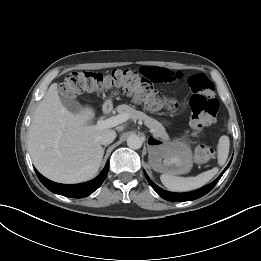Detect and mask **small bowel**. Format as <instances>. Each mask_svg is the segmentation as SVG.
Instances as JSON below:
<instances>
[{"mask_svg":"<svg viewBox=\"0 0 261 261\" xmlns=\"http://www.w3.org/2000/svg\"><path fill=\"white\" fill-rule=\"evenodd\" d=\"M141 73L155 83H171L181 78L180 73L162 67H143Z\"/></svg>","mask_w":261,"mask_h":261,"instance_id":"small-bowel-1","label":"small bowel"}]
</instances>
